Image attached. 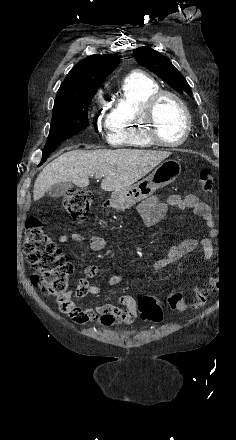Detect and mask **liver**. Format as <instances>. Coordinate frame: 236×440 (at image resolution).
Returning <instances> with one entry per match:
<instances>
[{"instance_id":"obj_1","label":"liver","mask_w":236,"mask_h":440,"mask_svg":"<svg viewBox=\"0 0 236 440\" xmlns=\"http://www.w3.org/2000/svg\"><path fill=\"white\" fill-rule=\"evenodd\" d=\"M170 154L138 149L68 151L40 172L34 184L33 199L39 200L51 186L61 182L86 187L89 176L103 177L101 188L105 191H121L147 175Z\"/></svg>"}]
</instances>
